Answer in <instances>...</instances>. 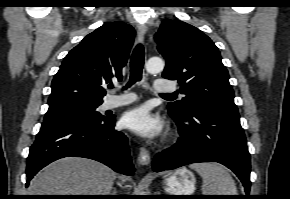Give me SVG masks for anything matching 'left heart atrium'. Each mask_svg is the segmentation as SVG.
I'll return each mask as SVG.
<instances>
[{"mask_svg":"<svg viewBox=\"0 0 290 199\" xmlns=\"http://www.w3.org/2000/svg\"><path fill=\"white\" fill-rule=\"evenodd\" d=\"M122 125L144 138H155L162 132L163 122L150 107L142 105L127 111L122 117Z\"/></svg>","mask_w":290,"mask_h":199,"instance_id":"left-heart-atrium-1","label":"left heart atrium"}]
</instances>
